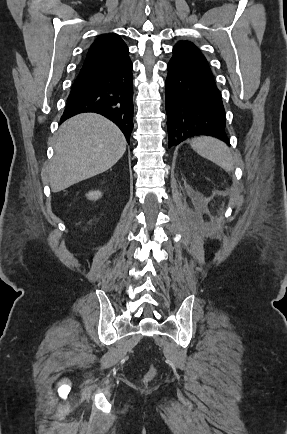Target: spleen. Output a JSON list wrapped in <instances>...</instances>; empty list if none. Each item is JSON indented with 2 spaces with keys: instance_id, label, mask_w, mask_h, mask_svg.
<instances>
[{
  "instance_id": "3e777b00",
  "label": "spleen",
  "mask_w": 287,
  "mask_h": 434,
  "mask_svg": "<svg viewBox=\"0 0 287 434\" xmlns=\"http://www.w3.org/2000/svg\"><path fill=\"white\" fill-rule=\"evenodd\" d=\"M191 147L202 157L214 162L225 171L234 168L233 157L228 146L213 137H197L191 142Z\"/></svg>"
}]
</instances>
